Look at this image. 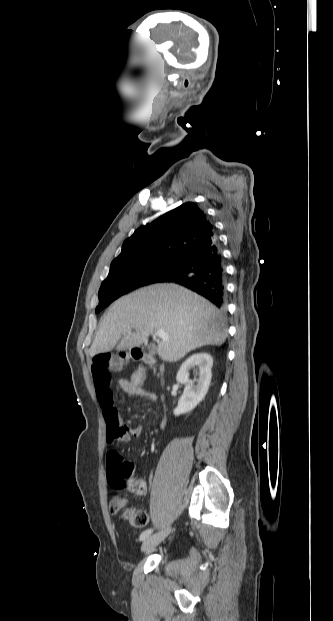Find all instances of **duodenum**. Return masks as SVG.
<instances>
[{
    "label": "duodenum",
    "mask_w": 333,
    "mask_h": 621,
    "mask_svg": "<svg viewBox=\"0 0 333 621\" xmlns=\"http://www.w3.org/2000/svg\"><path fill=\"white\" fill-rule=\"evenodd\" d=\"M132 355H133V357H134L135 359L144 360V361H145L146 363H148V364H152V363H153V360H152L150 357H148L147 355L142 354V353H141L139 350H137V349L133 350ZM161 384H162V385L164 384V381H163V380H161ZM161 424H162V426L165 424V419H163V420H162V423H161Z\"/></svg>",
    "instance_id": "obj_1"
}]
</instances>
